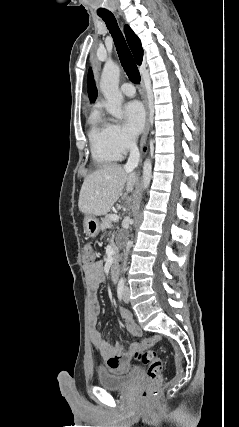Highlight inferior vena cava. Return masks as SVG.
Returning a JSON list of instances; mask_svg holds the SVG:
<instances>
[{"mask_svg": "<svg viewBox=\"0 0 239 427\" xmlns=\"http://www.w3.org/2000/svg\"><path fill=\"white\" fill-rule=\"evenodd\" d=\"M128 146L130 149V155L128 158V161L125 165V168L128 170H133L139 162L140 159V153L138 150V146L136 143V139L134 137H129V141H128ZM131 247V243L128 241L127 246H126V250H125V258H124V271L126 270V261H127V257H128V252L130 250Z\"/></svg>", "mask_w": 239, "mask_h": 427, "instance_id": "inferior-vena-cava-1", "label": "inferior vena cava"}]
</instances>
